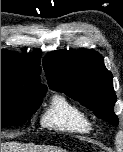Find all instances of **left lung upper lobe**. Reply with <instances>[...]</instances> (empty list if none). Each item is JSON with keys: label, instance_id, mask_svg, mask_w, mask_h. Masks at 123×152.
<instances>
[{"label": "left lung upper lobe", "instance_id": "obj_1", "mask_svg": "<svg viewBox=\"0 0 123 152\" xmlns=\"http://www.w3.org/2000/svg\"><path fill=\"white\" fill-rule=\"evenodd\" d=\"M49 87L79 101L112 125L118 124L113 111L116 101L113 77L94 50L53 51L43 60Z\"/></svg>", "mask_w": 123, "mask_h": 152}]
</instances>
